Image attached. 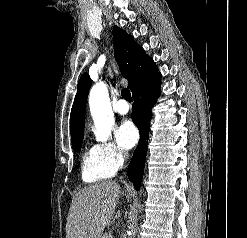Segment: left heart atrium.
<instances>
[{
	"label": "left heart atrium",
	"mask_w": 247,
	"mask_h": 238,
	"mask_svg": "<svg viewBox=\"0 0 247 238\" xmlns=\"http://www.w3.org/2000/svg\"><path fill=\"white\" fill-rule=\"evenodd\" d=\"M139 134L131 121H124L116 130V140L123 149L132 148L138 141Z\"/></svg>",
	"instance_id": "obj_1"
}]
</instances>
